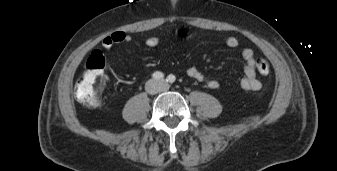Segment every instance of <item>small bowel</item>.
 <instances>
[{
  "label": "small bowel",
  "mask_w": 337,
  "mask_h": 171,
  "mask_svg": "<svg viewBox=\"0 0 337 171\" xmlns=\"http://www.w3.org/2000/svg\"><path fill=\"white\" fill-rule=\"evenodd\" d=\"M133 41L132 35L123 31H115L110 35L105 36L101 45L104 49H111L114 45L121 43H131ZM160 40L155 36H150L145 39V45L149 48H155L159 45ZM226 45L230 48H235L239 45V41L235 37H228L225 41ZM242 57L245 61L244 74L240 80V88L245 91H257L260 90L262 84L257 78L256 64L254 58V52L250 48H245L242 51ZM186 75L196 81L204 83L210 89H218L220 84L218 80L206 76L197 67H189L186 70Z\"/></svg>",
  "instance_id": "1"
}]
</instances>
